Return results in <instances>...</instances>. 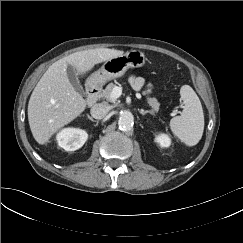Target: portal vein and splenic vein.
I'll use <instances>...</instances> for the list:
<instances>
[{"instance_id":"18ae733b","label":"portal vein and splenic vein","mask_w":243,"mask_h":243,"mask_svg":"<svg viewBox=\"0 0 243 243\" xmlns=\"http://www.w3.org/2000/svg\"><path fill=\"white\" fill-rule=\"evenodd\" d=\"M122 94V87L121 86H116L113 88L111 92V100L115 101L117 98H119Z\"/></svg>"}]
</instances>
